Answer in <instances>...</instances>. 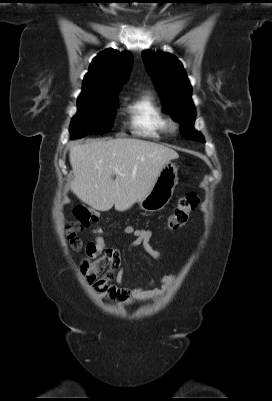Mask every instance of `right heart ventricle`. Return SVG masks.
I'll list each match as a JSON object with an SVG mask.
<instances>
[{"label":"right heart ventricle","mask_w":272,"mask_h":401,"mask_svg":"<svg viewBox=\"0 0 272 401\" xmlns=\"http://www.w3.org/2000/svg\"><path fill=\"white\" fill-rule=\"evenodd\" d=\"M125 110L131 128L141 136L158 139L170 131L164 107L150 92L129 100Z\"/></svg>","instance_id":"1"}]
</instances>
